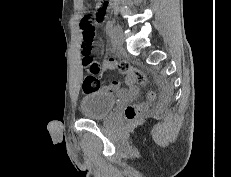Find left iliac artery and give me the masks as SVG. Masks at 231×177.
Wrapping results in <instances>:
<instances>
[{"mask_svg": "<svg viewBox=\"0 0 231 177\" xmlns=\"http://www.w3.org/2000/svg\"><path fill=\"white\" fill-rule=\"evenodd\" d=\"M106 33L108 36L112 35L113 33V22L108 20L106 23Z\"/></svg>", "mask_w": 231, "mask_h": 177, "instance_id": "44dca946", "label": "left iliac artery"}]
</instances>
